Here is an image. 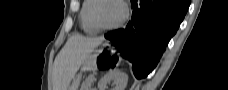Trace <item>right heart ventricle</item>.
I'll return each mask as SVG.
<instances>
[{
	"label": "right heart ventricle",
	"mask_w": 228,
	"mask_h": 90,
	"mask_svg": "<svg viewBox=\"0 0 228 90\" xmlns=\"http://www.w3.org/2000/svg\"><path fill=\"white\" fill-rule=\"evenodd\" d=\"M94 4L95 0H84L79 13L81 27L87 34H95L98 32V29L95 28L90 19V11Z\"/></svg>",
	"instance_id": "1"
}]
</instances>
